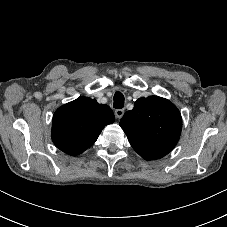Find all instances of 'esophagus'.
Here are the masks:
<instances>
[{
  "instance_id": "1",
  "label": "esophagus",
  "mask_w": 227,
  "mask_h": 227,
  "mask_svg": "<svg viewBox=\"0 0 227 227\" xmlns=\"http://www.w3.org/2000/svg\"><path fill=\"white\" fill-rule=\"evenodd\" d=\"M115 115L117 118H122V116L124 115V110L123 109H117L115 110Z\"/></svg>"
}]
</instances>
